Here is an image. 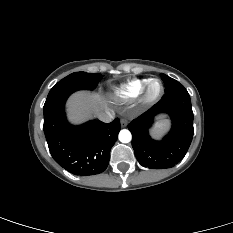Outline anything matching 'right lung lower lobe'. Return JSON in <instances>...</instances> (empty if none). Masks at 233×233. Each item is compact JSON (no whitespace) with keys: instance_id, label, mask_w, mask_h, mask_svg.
Wrapping results in <instances>:
<instances>
[{"instance_id":"obj_1","label":"right lung lower lobe","mask_w":233,"mask_h":233,"mask_svg":"<svg viewBox=\"0 0 233 233\" xmlns=\"http://www.w3.org/2000/svg\"><path fill=\"white\" fill-rule=\"evenodd\" d=\"M68 97L44 104V133L54 160L67 171L88 176L103 172L110 160V150L121 129L116 118L109 124L99 120L81 126L70 125L64 106Z\"/></svg>"}]
</instances>
